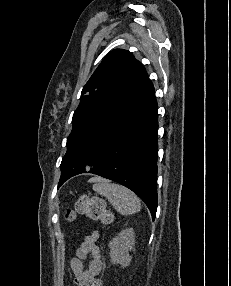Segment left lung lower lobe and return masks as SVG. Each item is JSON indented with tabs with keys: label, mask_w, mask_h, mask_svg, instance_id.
<instances>
[{
	"label": "left lung lower lobe",
	"mask_w": 231,
	"mask_h": 286,
	"mask_svg": "<svg viewBox=\"0 0 231 286\" xmlns=\"http://www.w3.org/2000/svg\"><path fill=\"white\" fill-rule=\"evenodd\" d=\"M148 79L100 120L80 141L61 173L60 187L72 176L93 173L135 192L157 210L158 113Z\"/></svg>",
	"instance_id": "obj_1"
}]
</instances>
